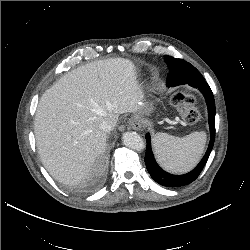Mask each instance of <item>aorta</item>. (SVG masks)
I'll use <instances>...</instances> for the list:
<instances>
[{"instance_id":"obj_1","label":"aorta","mask_w":250,"mask_h":250,"mask_svg":"<svg viewBox=\"0 0 250 250\" xmlns=\"http://www.w3.org/2000/svg\"><path fill=\"white\" fill-rule=\"evenodd\" d=\"M122 142L125 146L136 151H141L145 148V143L142 137L136 132L123 133Z\"/></svg>"}]
</instances>
